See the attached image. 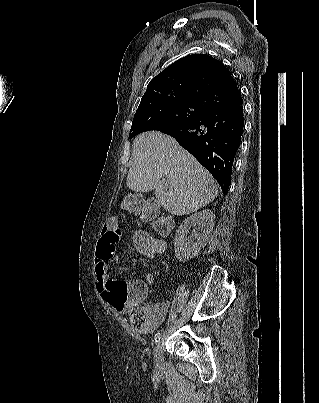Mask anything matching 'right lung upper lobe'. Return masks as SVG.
Instances as JSON below:
<instances>
[{"label": "right lung upper lobe", "mask_w": 319, "mask_h": 403, "mask_svg": "<svg viewBox=\"0 0 319 403\" xmlns=\"http://www.w3.org/2000/svg\"><path fill=\"white\" fill-rule=\"evenodd\" d=\"M161 103H190L210 112L242 104V98L227 67L209 55L192 54L150 81L136 113Z\"/></svg>", "instance_id": "cb5924a9"}]
</instances>
